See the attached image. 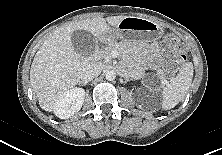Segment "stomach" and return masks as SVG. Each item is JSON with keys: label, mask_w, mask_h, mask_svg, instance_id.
<instances>
[{"label": "stomach", "mask_w": 222, "mask_h": 155, "mask_svg": "<svg viewBox=\"0 0 222 155\" xmlns=\"http://www.w3.org/2000/svg\"><path fill=\"white\" fill-rule=\"evenodd\" d=\"M162 35L163 29L159 24L144 18L126 17L117 26L102 34L99 41L105 45H114L118 40L140 45L156 41Z\"/></svg>", "instance_id": "obj_1"}]
</instances>
